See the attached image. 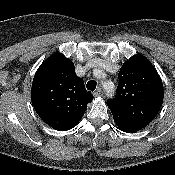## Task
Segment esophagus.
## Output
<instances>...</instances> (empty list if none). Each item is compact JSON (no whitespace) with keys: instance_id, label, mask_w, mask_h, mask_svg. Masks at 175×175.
Instances as JSON below:
<instances>
[{"instance_id":"obj_1","label":"esophagus","mask_w":175,"mask_h":175,"mask_svg":"<svg viewBox=\"0 0 175 175\" xmlns=\"http://www.w3.org/2000/svg\"><path fill=\"white\" fill-rule=\"evenodd\" d=\"M102 90H101V88H98L94 93H93V95L95 96V97H99V96H102Z\"/></svg>"}]
</instances>
